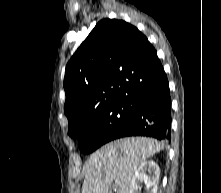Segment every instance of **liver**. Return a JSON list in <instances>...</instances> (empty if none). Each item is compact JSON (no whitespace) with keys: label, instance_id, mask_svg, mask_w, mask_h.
<instances>
[{"label":"liver","instance_id":"6515ba94","mask_svg":"<svg viewBox=\"0 0 221 193\" xmlns=\"http://www.w3.org/2000/svg\"><path fill=\"white\" fill-rule=\"evenodd\" d=\"M164 149L152 138L130 137L110 142L93 154L85 165L82 193H129L137 167Z\"/></svg>","mask_w":221,"mask_h":193}]
</instances>
